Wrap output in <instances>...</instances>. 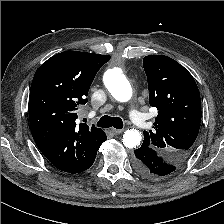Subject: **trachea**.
<instances>
[{
  "label": "trachea",
  "mask_w": 224,
  "mask_h": 224,
  "mask_svg": "<svg viewBox=\"0 0 224 224\" xmlns=\"http://www.w3.org/2000/svg\"><path fill=\"white\" fill-rule=\"evenodd\" d=\"M97 126L102 128L114 127L116 129H122L123 121L119 117H111V116L105 115L101 117L100 120L97 122Z\"/></svg>",
  "instance_id": "trachea-1"
}]
</instances>
